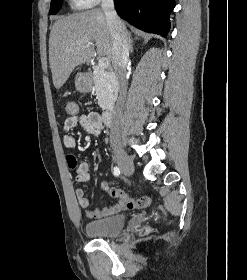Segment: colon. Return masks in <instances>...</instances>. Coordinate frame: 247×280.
I'll return each instance as SVG.
<instances>
[{"label": "colon", "instance_id": "5ec220e1", "mask_svg": "<svg viewBox=\"0 0 247 280\" xmlns=\"http://www.w3.org/2000/svg\"><path fill=\"white\" fill-rule=\"evenodd\" d=\"M77 111H78V107L74 101H68L65 104V112L68 116L71 117V116L76 115ZM67 161H68L69 168L72 170H75L76 167L78 166L76 158L72 155L68 156ZM132 204H134V203H132Z\"/></svg>", "mask_w": 247, "mask_h": 280}]
</instances>
